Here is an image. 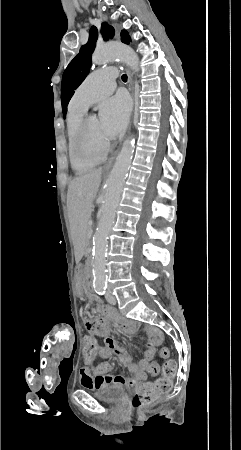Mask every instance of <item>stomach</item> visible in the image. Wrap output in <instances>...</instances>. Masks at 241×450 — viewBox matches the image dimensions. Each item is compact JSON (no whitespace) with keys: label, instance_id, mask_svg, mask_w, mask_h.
Returning a JSON list of instances; mask_svg holds the SVG:
<instances>
[{"label":"stomach","instance_id":"stomach-1","mask_svg":"<svg viewBox=\"0 0 241 450\" xmlns=\"http://www.w3.org/2000/svg\"><path fill=\"white\" fill-rule=\"evenodd\" d=\"M74 281H75V286H76V288H77L79 291H82V290H83L84 283H85V276H84V272H83V269H82V266H81V265H78V266L76 267V271H75V279H74Z\"/></svg>","mask_w":241,"mask_h":450}]
</instances>
